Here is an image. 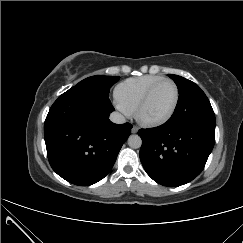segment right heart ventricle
Segmentation results:
<instances>
[{"mask_svg": "<svg viewBox=\"0 0 243 243\" xmlns=\"http://www.w3.org/2000/svg\"><path fill=\"white\" fill-rule=\"evenodd\" d=\"M162 79L165 78L161 75L151 74L126 79L114 90L117 103L129 113H134L148 89Z\"/></svg>", "mask_w": 243, "mask_h": 243, "instance_id": "right-heart-ventricle-1", "label": "right heart ventricle"}]
</instances>
